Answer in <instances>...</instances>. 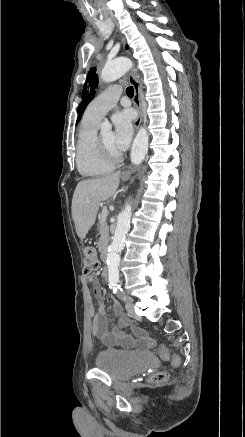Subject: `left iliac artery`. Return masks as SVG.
<instances>
[{"instance_id": "left-iliac-artery-1", "label": "left iliac artery", "mask_w": 245, "mask_h": 437, "mask_svg": "<svg viewBox=\"0 0 245 437\" xmlns=\"http://www.w3.org/2000/svg\"><path fill=\"white\" fill-rule=\"evenodd\" d=\"M118 288L120 289V292H122V289L120 288V286H118ZM123 299L125 300V299H126V297H123Z\"/></svg>"}]
</instances>
